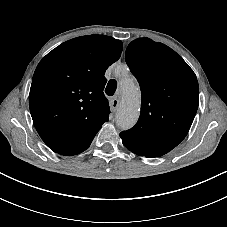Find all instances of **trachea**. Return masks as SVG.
<instances>
[{"label": "trachea", "instance_id": "trachea-1", "mask_svg": "<svg viewBox=\"0 0 227 227\" xmlns=\"http://www.w3.org/2000/svg\"><path fill=\"white\" fill-rule=\"evenodd\" d=\"M116 88H117V81L115 79H111L107 83V87L105 89V93L108 96H113L115 94V92H116Z\"/></svg>", "mask_w": 227, "mask_h": 227}]
</instances>
